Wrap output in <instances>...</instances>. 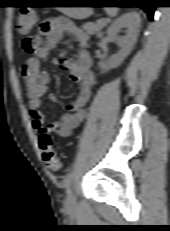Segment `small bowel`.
Masks as SVG:
<instances>
[{"mask_svg": "<svg viewBox=\"0 0 170 231\" xmlns=\"http://www.w3.org/2000/svg\"><path fill=\"white\" fill-rule=\"evenodd\" d=\"M68 36L78 47L76 59L61 62V68L78 83L79 91L76 99L67 106V111L59 120L45 125V115L41 112L42 98L48 91L49 76L41 69V64L47 60L50 50ZM39 45L34 56L29 58L22 67V76L26 95L29 99L28 109L32 118V128L39 134H55L59 138H67L85 118V106L88 103L91 90L95 83V75L91 70V58L87 51V35L71 20L58 17L43 21L38 29ZM51 102H56L55 94L48 96Z\"/></svg>", "mask_w": 170, "mask_h": 231, "instance_id": "c3829d8e", "label": "small bowel"}]
</instances>
